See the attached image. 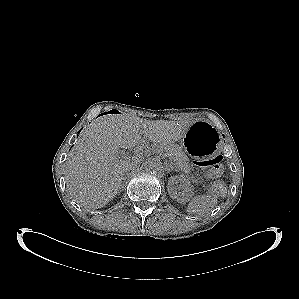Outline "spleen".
<instances>
[{
	"label": "spleen",
	"mask_w": 299,
	"mask_h": 299,
	"mask_svg": "<svg viewBox=\"0 0 299 299\" xmlns=\"http://www.w3.org/2000/svg\"><path fill=\"white\" fill-rule=\"evenodd\" d=\"M217 203L218 199L216 195H197L190 200L186 211L191 215H204L213 209Z\"/></svg>",
	"instance_id": "spleen-1"
}]
</instances>
